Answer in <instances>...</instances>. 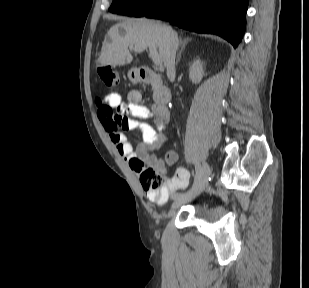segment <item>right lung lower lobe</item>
I'll return each instance as SVG.
<instances>
[{"mask_svg": "<svg viewBox=\"0 0 309 288\" xmlns=\"http://www.w3.org/2000/svg\"><path fill=\"white\" fill-rule=\"evenodd\" d=\"M248 0H165L146 13L179 27L217 34L235 48L245 31Z\"/></svg>", "mask_w": 309, "mask_h": 288, "instance_id": "1", "label": "right lung lower lobe"}]
</instances>
